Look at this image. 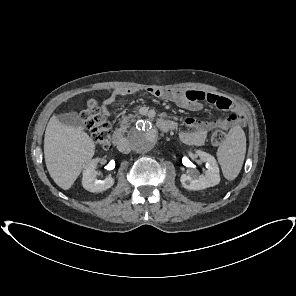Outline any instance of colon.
Here are the masks:
<instances>
[{"mask_svg": "<svg viewBox=\"0 0 296 296\" xmlns=\"http://www.w3.org/2000/svg\"><path fill=\"white\" fill-rule=\"evenodd\" d=\"M80 118L91 131L95 145L103 150L111 147V126L105 114L94 100H89L80 111ZM227 139V132L218 129L211 135V143L214 146L223 144Z\"/></svg>", "mask_w": 296, "mask_h": 296, "instance_id": "obj_1", "label": "colon"}]
</instances>
